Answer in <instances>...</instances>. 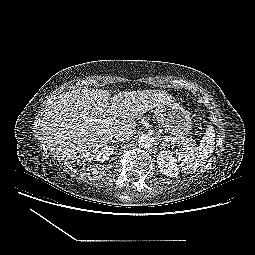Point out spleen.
<instances>
[{
  "mask_svg": "<svg viewBox=\"0 0 255 255\" xmlns=\"http://www.w3.org/2000/svg\"><path fill=\"white\" fill-rule=\"evenodd\" d=\"M215 148V131L213 126L208 125L204 137L199 146L184 148L177 153L178 160L181 161L183 170L190 173L196 172L204 166Z\"/></svg>",
  "mask_w": 255,
  "mask_h": 255,
  "instance_id": "obj_1",
  "label": "spleen"
}]
</instances>
